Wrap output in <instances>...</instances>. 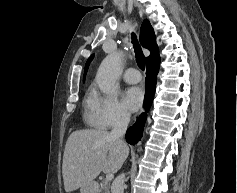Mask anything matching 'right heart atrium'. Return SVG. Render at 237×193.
Returning <instances> with one entry per match:
<instances>
[{
    "instance_id": "d8ad5b80",
    "label": "right heart atrium",
    "mask_w": 237,
    "mask_h": 193,
    "mask_svg": "<svg viewBox=\"0 0 237 193\" xmlns=\"http://www.w3.org/2000/svg\"><path fill=\"white\" fill-rule=\"evenodd\" d=\"M89 111L92 123L100 129H111L126 125L130 115L115 93H101L94 89Z\"/></svg>"
}]
</instances>
